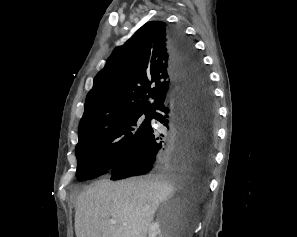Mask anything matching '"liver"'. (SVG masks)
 Segmentation results:
<instances>
[{"mask_svg": "<svg viewBox=\"0 0 297 237\" xmlns=\"http://www.w3.org/2000/svg\"><path fill=\"white\" fill-rule=\"evenodd\" d=\"M191 183L176 174L100 180L77 197L76 237H146L159 204Z\"/></svg>", "mask_w": 297, "mask_h": 237, "instance_id": "liver-1", "label": "liver"}]
</instances>
